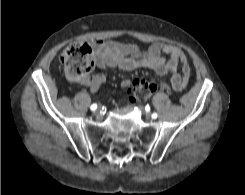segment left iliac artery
I'll list each match as a JSON object with an SVG mask.
<instances>
[{"label": "left iliac artery", "instance_id": "left-iliac-artery-1", "mask_svg": "<svg viewBox=\"0 0 245 195\" xmlns=\"http://www.w3.org/2000/svg\"><path fill=\"white\" fill-rule=\"evenodd\" d=\"M157 116H158L157 113H153V114H152V118H153V119H156Z\"/></svg>", "mask_w": 245, "mask_h": 195}]
</instances>
